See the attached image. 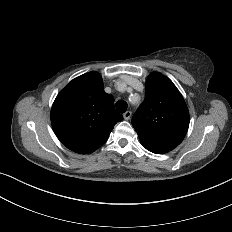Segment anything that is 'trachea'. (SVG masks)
<instances>
[{
  "label": "trachea",
  "instance_id": "trachea-1",
  "mask_svg": "<svg viewBox=\"0 0 232 232\" xmlns=\"http://www.w3.org/2000/svg\"><path fill=\"white\" fill-rule=\"evenodd\" d=\"M127 107L128 105L125 101L120 100L116 103V109L119 113H124L127 110Z\"/></svg>",
  "mask_w": 232,
  "mask_h": 232
}]
</instances>
